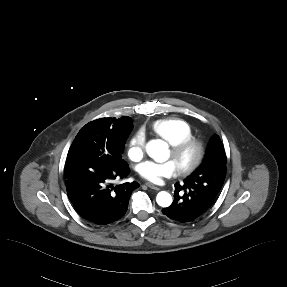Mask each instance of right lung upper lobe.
Here are the masks:
<instances>
[{
	"label": "right lung upper lobe",
	"mask_w": 287,
	"mask_h": 287,
	"mask_svg": "<svg viewBox=\"0 0 287 287\" xmlns=\"http://www.w3.org/2000/svg\"><path fill=\"white\" fill-rule=\"evenodd\" d=\"M95 127L99 137L106 141H113L126 133L133 125L128 116L121 118H101L89 122Z\"/></svg>",
	"instance_id": "1"
}]
</instances>
